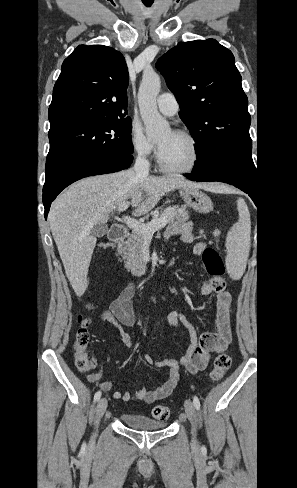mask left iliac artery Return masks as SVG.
<instances>
[{
    "mask_svg": "<svg viewBox=\"0 0 297 488\" xmlns=\"http://www.w3.org/2000/svg\"><path fill=\"white\" fill-rule=\"evenodd\" d=\"M193 404L197 410L200 409V401L197 396L193 397ZM202 449L205 450V447H203Z\"/></svg>",
    "mask_w": 297,
    "mask_h": 488,
    "instance_id": "obj_1",
    "label": "left iliac artery"
}]
</instances>
